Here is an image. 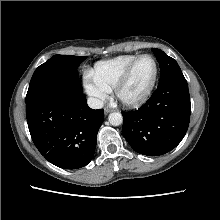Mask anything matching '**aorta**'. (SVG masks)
Masks as SVG:
<instances>
[{"mask_svg":"<svg viewBox=\"0 0 220 220\" xmlns=\"http://www.w3.org/2000/svg\"><path fill=\"white\" fill-rule=\"evenodd\" d=\"M108 121L113 126H119L123 122V116L119 112H113L109 114Z\"/></svg>","mask_w":220,"mask_h":220,"instance_id":"1","label":"aorta"}]
</instances>
